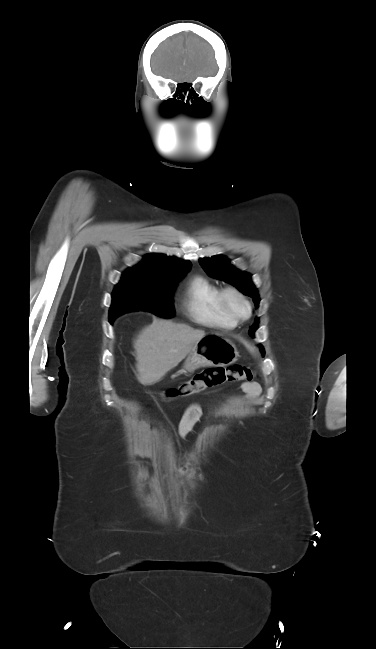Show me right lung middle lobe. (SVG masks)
I'll return each instance as SVG.
<instances>
[{"instance_id":"right-lung-middle-lobe-1","label":"right lung middle lobe","mask_w":376,"mask_h":649,"mask_svg":"<svg viewBox=\"0 0 376 649\" xmlns=\"http://www.w3.org/2000/svg\"><path fill=\"white\" fill-rule=\"evenodd\" d=\"M188 271L151 276L135 268L123 273L112 293L109 321L130 311H149L161 317L174 315L172 296L177 283Z\"/></svg>"}]
</instances>
